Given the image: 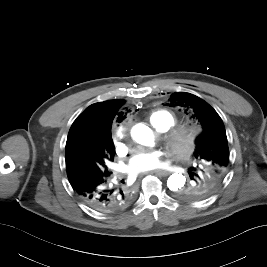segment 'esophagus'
<instances>
[{"instance_id":"esophagus-1","label":"esophagus","mask_w":267,"mask_h":267,"mask_svg":"<svg viewBox=\"0 0 267 267\" xmlns=\"http://www.w3.org/2000/svg\"><path fill=\"white\" fill-rule=\"evenodd\" d=\"M152 173L159 175V176H164V177L170 174V172L167 170H155Z\"/></svg>"}]
</instances>
